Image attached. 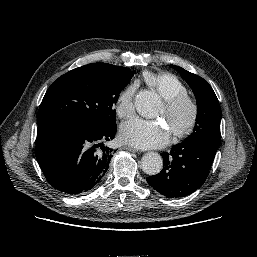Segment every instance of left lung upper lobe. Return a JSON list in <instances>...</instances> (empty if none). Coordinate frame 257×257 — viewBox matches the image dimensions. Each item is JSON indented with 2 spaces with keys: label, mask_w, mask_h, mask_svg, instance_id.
I'll return each instance as SVG.
<instances>
[{
  "label": "left lung upper lobe",
  "mask_w": 257,
  "mask_h": 257,
  "mask_svg": "<svg viewBox=\"0 0 257 257\" xmlns=\"http://www.w3.org/2000/svg\"><path fill=\"white\" fill-rule=\"evenodd\" d=\"M191 87L197 101V118L193 133L186 140H204L220 145L221 108L212 87L201 77L171 65Z\"/></svg>",
  "instance_id": "5c2ea615"
}]
</instances>
